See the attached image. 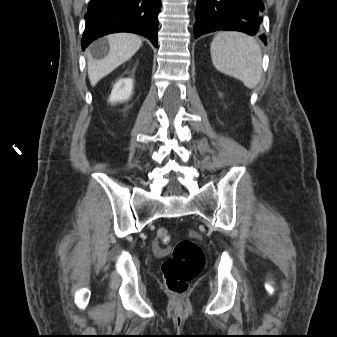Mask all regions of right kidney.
<instances>
[{
	"instance_id": "1",
	"label": "right kidney",
	"mask_w": 337,
	"mask_h": 337,
	"mask_svg": "<svg viewBox=\"0 0 337 337\" xmlns=\"http://www.w3.org/2000/svg\"><path fill=\"white\" fill-rule=\"evenodd\" d=\"M133 91V80L130 78H123L118 80L111 92L109 102H123L130 99Z\"/></svg>"
}]
</instances>
